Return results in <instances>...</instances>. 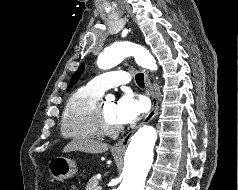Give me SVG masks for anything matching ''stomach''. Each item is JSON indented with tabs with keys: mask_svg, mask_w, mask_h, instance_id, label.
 <instances>
[{
	"mask_svg": "<svg viewBox=\"0 0 238 190\" xmlns=\"http://www.w3.org/2000/svg\"><path fill=\"white\" fill-rule=\"evenodd\" d=\"M112 154L113 156H119V153L117 152L112 151ZM48 169L50 175L58 181L71 178L77 172L75 162L65 157H55L50 160L48 163Z\"/></svg>",
	"mask_w": 238,
	"mask_h": 190,
	"instance_id": "1",
	"label": "stomach"
}]
</instances>
